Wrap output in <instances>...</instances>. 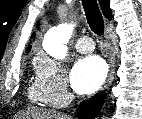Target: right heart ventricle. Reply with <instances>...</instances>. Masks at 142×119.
<instances>
[{
  "label": "right heart ventricle",
  "mask_w": 142,
  "mask_h": 119,
  "mask_svg": "<svg viewBox=\"0 0 142 119\" xmlns=\"http://www.w3.org/2000/svg\"><path fill=\"white\" fill-rule=\"evenodd\" d=\"M28 95L32 101L44 102V98L37 81L29 87Z\"/></svg>",
  "instance_id": "obj_1"
}]
</instances>
